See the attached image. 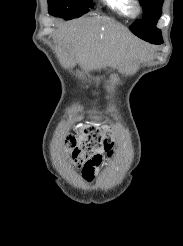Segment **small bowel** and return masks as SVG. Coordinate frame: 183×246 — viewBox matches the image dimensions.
Returning <instances> with one entry per match:
<instances>
[{
	"label": "small bowel",
	"instance_id": "obj_1",
	"mask_svg": "<svg viewBox=\"0 0 183 246\" xmlns=\"http://www.w3.org/2000/svg\"><path fill=\"white\" fill-rule=\"evenodd\" d=\"M102 162V151L93 155L82 168V177L86 182H91L97 174L99 165Z\"/></svg>",
	"mask_w": 183,
	"mask_h": 246
}]
</instances>
